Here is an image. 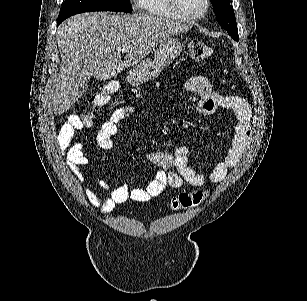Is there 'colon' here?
I'll use <instances>...</instances> for the list:
<instances>
[{"instance_id": "5ec220e1", "label": "colon", "mask_w": 307, "mask_h": 301, "mask_svg": "<svg viewBox=\"0 0 307 301\" xmlns=\"http://www.w3.org/2000/svg\"><path fill=\"white\" fill-rule=\"evenodd\" d=\"M190 54L196 61H206L213 55V48L200 40L192 41L190 44ZM119 89L116 82L105 83L101 89L96 92L91 98V106L93 111H99L103 106L110 102L112 95ZM81 124L85 128L94 125L95 117L93 112H87L80 117ZM207 196L205 191L183 192L176 195L171 202L174 209H187L199 205Z\"/></svg>"}]
</instances>
